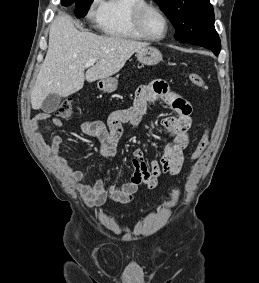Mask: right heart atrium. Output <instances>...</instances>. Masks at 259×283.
<instances>
[{
	"instance_id": "obj_1",
	"label": "right heart atrium",
	"mask_w": 259,
	"mask_h": 283,
	"mask_svg": "<svg viewBox=\"0 0 259 283\" xmlns=\"http://www.w3.org/2000/svg\"><path fill=\"white\" fill-rule=\"evenodd\" d=\"M104 5H105L104 0H92L91 1V4L87 11V17L89 18L91 22L99 24L100 19L103 14Z\"/></svg>"
}]
</instances>
